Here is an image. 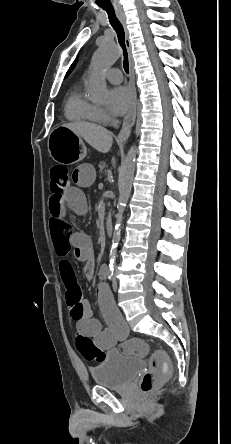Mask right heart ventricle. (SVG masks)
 <instances>
[{
	"label": "right heart ventricle",
	"instance_id": "e07e8e85",
	"mask_svg": "<svg viewBox=\"0 0 231 444\" xmlns=\"http://www.w3.org/2000/svg\"><path fill=\"white\" fill-rule=\"evenodd\" d=\"M65 115L71 121H98L95 106L82 94L80 90H74L68 96L65 105Z\"/></svg>",
	"mask_w": 231,
	"mask_h": 444
}]
</instances>
